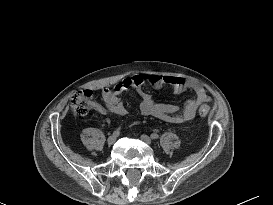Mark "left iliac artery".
Wrapping results in <instances>:
<instances>
[{"instance_id":"1","label":"left iliac artery","mask_w":273,"mask_h":205,"mask_svg":"<svg viewBox=\"0 0 273 205\" xmlns=\"http://www.w3.org/2000/svg\"><path fill=\"white\" fill-rule=\"evenodd\" d=\"M151 138H152V139H158V138H159V135L156 134V133H152V134H151Z\"/></svg>"}]
</instances>
